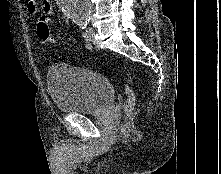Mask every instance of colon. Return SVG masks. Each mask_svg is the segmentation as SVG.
Here are the masks:
<instances>
[{
  "instance_id": "5ec220e1",
  "label": "colon",
  "mask_w": 221,
  "mask_h": 174,
  "mask_svg": "<svg viewBox=\"0 0 221 174\" xmlns=\"http://www.w3.org/2000/svg\"><path fill=\"white\" fill-rule=\"evenodd\" d=\"M37 34L43 43H50L53 41L48 20L43 16H41L37 22ZM124 87L126 94L125 111L130 112L135 106L136 94L134 89L128 83H125Z\"/></svg>"
}]
</instances>
